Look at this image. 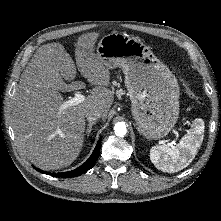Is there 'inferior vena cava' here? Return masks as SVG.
<instances>
[{
  "label": "inferior vena cava",
  "mask_w": 221,
  "mask_h": 221,
  "mask_svg": "<svg viewBox=\"0 0 221 221\" xmlns=\"http://www.w3.org/2000/svg\"><path fill=\"white\" fill-rule=\"evenodd\" d=\"M88 121H96L101 118V113L98 110H90L85 114Z\"/></svg>",
  "instance_id": "602c4592"
}]
</instances>
